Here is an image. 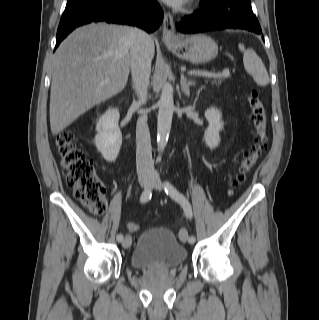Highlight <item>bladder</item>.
I'll use <instances>...</instances> for the list:
<instances>
[{
	"instance_id": "31cf9c89",
	"label": "bladder",
	"mask_w": 319,
	"mask_h": 320,
	"mask_svg": "<svg viewBox=\"0 0 319 320\" xmlns=\"http://www.w3.org/2000/svg\"><path fill=\"white\" fill-rule=\"evenodd\" d=\"M187 259L186 248L166 228L143 231L129 256L134 269L175 268Z\"/></svg>"
}]
</instances>
